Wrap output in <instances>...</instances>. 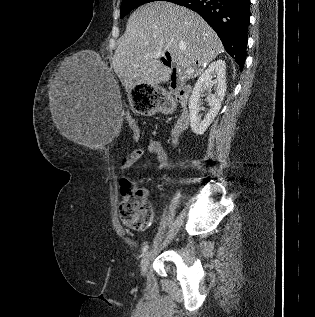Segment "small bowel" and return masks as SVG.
I'll use <instances>...</instances> for the list:
<instances>
[{
    "label": "small bowel",
    "mask_w": 315,
    "mask_h": 317,
    "mask_svg": "<svg viewBox=\"0 0 315 317\" xmlns=\"http://www.w3.org/2000/svg\"><path fill=\"white\" fill-rule=\"evenodd\" d=\"M148 152L157 160L159 170L165 168L168 165L167 153L160 141L156 139L148 140ZM144 149L141 147H136L131 150V152L125 156L120 165L121 182L129 179L128 170L136 164V162L143 156ZM145 192V191H144ZM146 194V192H145Z\"/></svg>",
    "instance_id": "c3829d8e"
}]
</instances>
